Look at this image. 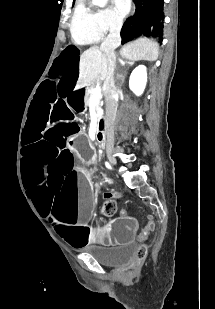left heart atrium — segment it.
<instances>
[{
  "mask_svg": "<svg viewBox=\"0 0 215 309\" xmlns=\"http://www.w3.org/2000/svg\"><path fill=\"white\" fill-rule=\"evenodd\" d=\"M115 7H118L119 12H128V0H113Z\"/></svg>",
  "mask_w": 215,
  "mask_h": 309,
  "instance_id": "obj_1",
  "label": "left heart atrium"
}]
</instances>
